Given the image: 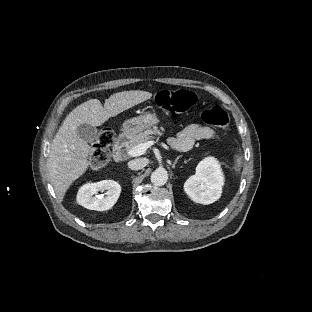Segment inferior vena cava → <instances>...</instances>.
I'll use <instances>...</instances> for the list:
<instances>
[{
  "instance_id": "1",
  "label": "inferior vena cava",
  "mask_w": 312,
  "mask_h": 312,
  "mask_svg": "<svg viewBox=\"0 0 312 312\" xmlns=\"http://www.w3.org/2000/svg\"><path fill=\"white\" fill-rule=\"evenodd\" d=\"M147 165V159L145 158H137L128 163V167L131 170H140L143 169Z\"/></svg>"
}]
</instances>
